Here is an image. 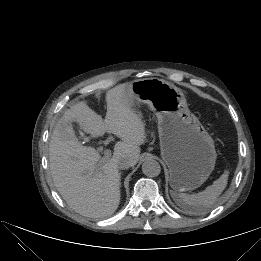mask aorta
Instances as JSON below:
<instances>
[{"instance_id": "aorta-1", "label": "aorta", "mask_w": 261, "mask_h": 261, "mask_svg": "<svg viewBox=\"0 0 261 261\" xmlns=\"http://www.w3.org/2000/svg\"><path fill=\"white\" fill-rule=\"evenodd\" d=\"M142 171L148 177H156L161 172V166L156 160L148 159L142 164Z\"/></svg>"}]
</instances>
